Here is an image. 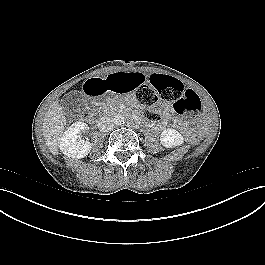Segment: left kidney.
<instances>
[{
    "instance_id": "left-kidney-1",
    "label": "left kidney",
    "mask_w": 265,
    "mask_h": 265,
    "mask_svg": "<svg viewBox=\"0 0 265 265\" xmlns=\"http://www.w3.org/2000/svg\"><path fill=\"white\" fill-rule=\"evenodd\" d=\"M161 144L166 148L179 146L183 143L182 135L175 129H165L160 135Z\"/></svg>"
}]
</instances>
